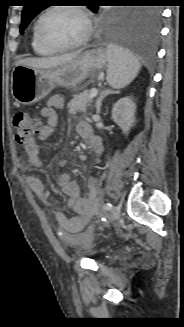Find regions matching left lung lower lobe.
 Listing matches in <instances>:
<instances>
[{
  "mask_svg": "<svg viewBox=\"0 0 184 327\" xmlns=\"http://www.w3.org/2000/svg\"><path fill=\"white\" fill-rule=\"evenodd\" d=\"M160 17L161 12L156 7L139 9L128 24L113 32V45L127 52L153 55L159 35Z\"/></svg>",
  "mask_w": 184,
  "mask_h": 327,
  "instance_id": "1",
  "label": "left lung lower lobe"
}]
</instances>
